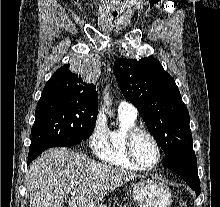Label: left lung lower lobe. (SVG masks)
<instances>
[{"mask_svg":"<svg viewBox=\"0 0 220 207\" xmlns=\"http://www.w3.org/2000/svg\"><path fill=\"white\" fill-rule=\"evenodd\" d=\"M164 165L183 177L186 183L195 190L197 196L200 194L197 159L192 147L185 152L167 156Z\"/></svg>","mask_w":220,"mask_h":207,"instance_id":"left-lung-lower-lobe-1","label":"left lung lower lobe"}]
</instances>
